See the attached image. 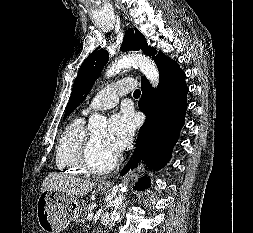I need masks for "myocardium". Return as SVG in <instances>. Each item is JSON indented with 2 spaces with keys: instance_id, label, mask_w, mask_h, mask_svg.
<instances>
[{
  "instance_id": "obj_1",
  "label": "myocardium",
  "mask_w": 253,
  "mask_h": 233,
  "mask_svg": "<svg viewBox=\"0 0 253 233\" xmlns=\"http://www.w3.org/2000/svg\"><path fill=\"white\" fill-rule=\"evenodd\" d=\"M95 142L91 134H89L82 145L79 162L81 166L90 173H103L112 170L120 162V156L115 155L108 161L101 163L95 159Z\"/></svg>"
}]
</instances>
